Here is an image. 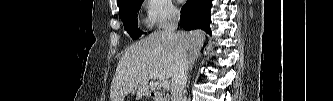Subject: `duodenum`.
<instances>
[{
  "label": "duodenum",
  "instance_id": "410a0bca",
  "mask_svg": "<svg viewBox=\"0 0 333 101\" xmlns=\"http://www.w3.org/2000/svg\"><path fill=\"white\" fill-rule=\"evenodd\" d=\"M150 98L153 99L154 101H163L162 95L158 92H152L150 94Z\"/></svg>",
  "mask_w": 333,
  "mask_h": 101
}]
</instances>
